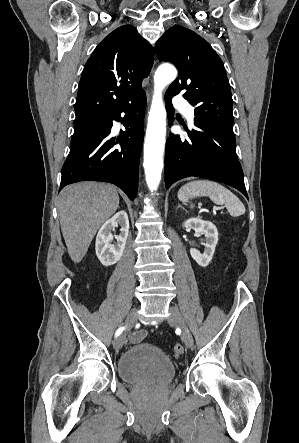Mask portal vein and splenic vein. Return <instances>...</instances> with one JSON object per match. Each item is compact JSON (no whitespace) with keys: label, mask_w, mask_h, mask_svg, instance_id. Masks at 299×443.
I'll use <instances>...</instances> for the list:
<instances>
[{"label":"portal vein and splenic vein","mask_w":299,"mask_h":443,"mask_svg":"<svg viewBox=\"0 0 299 443\" xmlns=\"http://www.w3.org/2000/svg\"><path fill=\"white\" fill-rule=\"evenodd\" d=\"M218 209V207H214V210H217Z\"/></svg>","instance_id":"18ae733b"}]
</instances>
